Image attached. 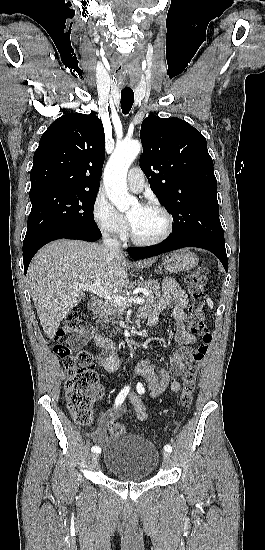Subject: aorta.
<instances>
[{"instance_id":"762f6f07","label":"aorta","mask_w":265,"mask_h":550,"mask_svg":"<svg viewBox=\"0 0 265 550\" xmlns=\"http://www.w3.org/2000/svg\"><path fill=\"white\" fill-rule=\"evenodd\" d=\"M140 150L141 144L137 140L118 144L104 170L106 194L120 212H126L137 204V199L128 193L126 176Z\"/></svg>"}]
</instances>
